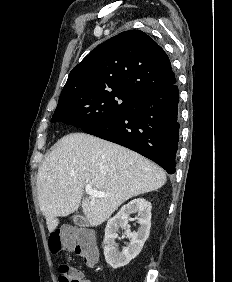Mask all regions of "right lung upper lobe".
Returning a JSON list of instances; mask_svg holds the SVG:
<instances>
[{"mask_svg":"<svg viewBox=\"0 0 232 282\" xmlns=\"http://www.w3.org/2000/svg\"><path fill=\"white\" fill-rule=\"evenodd\" d=\"M175 81L164 50L146 33L128 30L100 44L72 69L59 101L110 90L142 96Z\"/></svg>","mask_w":232,"mask_h":282,"instance_id":"1","label":"right lung upper lobe"}]
</instances>
